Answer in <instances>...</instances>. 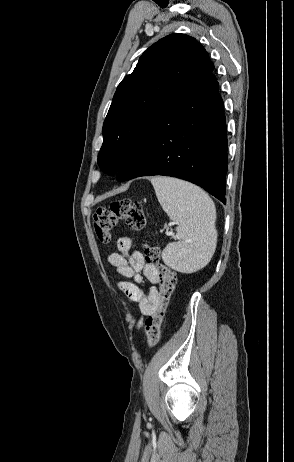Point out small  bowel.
<instances>
[{
    "label": "small bowel",
    "mask_w": 294,
    "mask_h": 462,
    "mask_svg": "<svg viewBox=\"0 0 294 462\" xmlns=\"http://www.w3.org/2000/svg\"><path fill=\"white\" fill-rule=\"evenodd\" d=\"M116 246L117 252L111 253L108 261L116 268L119 279H132L120 280L118 286L130 302L137 303L142 315L150 316L158 303L157 269L145 263L140 252L131 251L132 239L129 236L120 237ZM144 280H148L152 285L148 290L142 286Z\"/></svg>",
    "instance_id": "c3829d8e"
}]
</instances>
